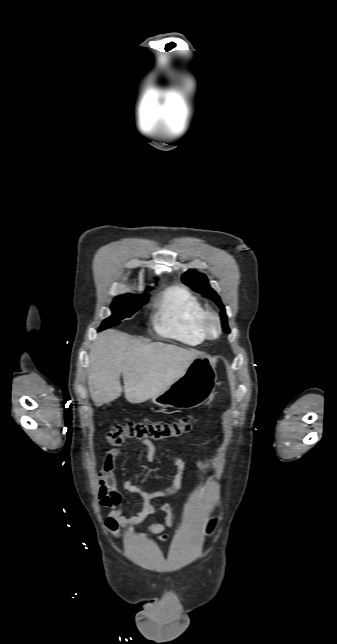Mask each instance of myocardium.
Listing matches in <instances>:
<instances>
[{
    "mask_svg": "<svg viewBox=\"0 0 337 644\" xmlns=\"http://www.w3.org/2000/svg\"><path fill=\"white\" fill-rule=\"evenodd\" d=\"M201 329L208 339H216L221 334V321L219 316L212 311H205L201 321Z\"/></svg>",
    "mask_w": 337,
    "mask_h": 644,
    "instance_id": "myocardium-1",
    "label": "myocardium"
}]
</instances>
